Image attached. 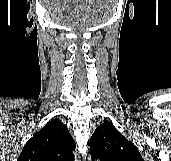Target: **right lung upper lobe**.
Wrapping results in <instances>:
<instances>
[{
  "label": "right lung upper lobe",
  "mask_w": 171,
  "mask_h": 161,
  "mask_svg": "<svg viewBox=\"0 0 171 161\" xmlns=\"http://www.w3.org/2000/svg\"><path fill=\"white\" fill-rule=\"evenodd\" d=\"M75 147L67 127L53 119L29 139L18 161H74Z\"/></svg>",
  "instance_id": "1"
}]
</instances>
